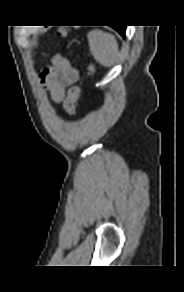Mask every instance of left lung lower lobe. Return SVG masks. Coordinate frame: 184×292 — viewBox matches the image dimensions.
<instances>
[{
    "mask_svg": "<svg viewBox=\"0 0 184 292\" xmlns=\"http://www.w3.org/2000/svg\"><path fill=\"white\" fill-rule=\"evenodd\" d=\"M113 28H115L119 32V34H121L123 37L125 36V29H126L125 26H117V27L113 26Z\"/></svg>",
    "mask_w": 184,
    "mask_h": 292,
    "instance_id": "obj_1",
    "label": "left lung lower lobe"
}]
</instances>
